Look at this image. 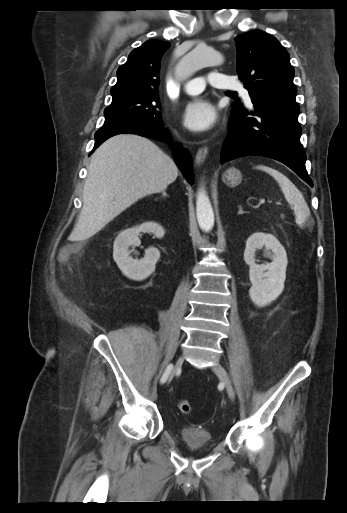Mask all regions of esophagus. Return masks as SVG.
Segmentation results:
<instances>
[{
  "instance_id": "obj_1",
  "label": "esophagus",
  "mask_w": 347,
  "mask_h": 513,
  "mask_svg": "<svg viewBox=\"0 0 347 513\" xmlns=\"http://www.w3.org/2000/svg\"><path fill=\"white\" fill-rule=\"evenodd\" d=\"M207 154H208V148L206 146L198 149V151L196 153V157H195V161H196L197 165H201L205 161Z\"/></svg>"
}]
</instances>
